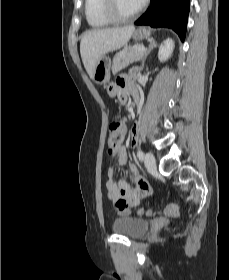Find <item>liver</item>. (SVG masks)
<instances>
[{
  "label": "liver",
  "mask_w": 229,
  "mask_h": 280,
  "mask_svg": "<svg viewBox=\"0 0 229 280\" xmlns=\"http://www.w3.org/2000/svg\"><path fill=\"white\" fill-rule=\"evenodd\" d=\"M134 26L94 29L83 33L80 54L84 67L92 78L97 62L107 53L120 49L133 35Z\"/></svg>",
  "instance_id": "obj_1"
}]
</instances>
